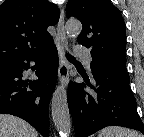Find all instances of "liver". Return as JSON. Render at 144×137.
Wrapping results in <instances>:
<instances>
[{
    "mask_svg": "<svg viewBox=\"0 0 144 137\" xmlns=\"http://www.w3.org/2000/svg\"><path fill=\"white\" fill-rule=\"evenodd\" d=\"M0 137H38V133L23 119L0 114Z\"/></svg>",
    "mask_w": 144,
    "mask_h": 137,
    "instance_id": "liver-1",
    "label": "liver"
}]
</instances>
